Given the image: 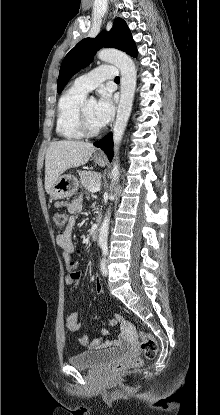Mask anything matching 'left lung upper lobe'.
Segmentation results:
<instances>
[{
	"mask_svg": "<svg viewBox=\"0 0 220 415\" xmlns=\"http://www.w3.org/2000/svg\"><path fill=\"white\" fill-rule=\"evenodd\" d=\"M102 46L119 49L132 57L138 55L136 44L126 22L117 18L109 32L103 31L95 38L83 39L65 56L58 77V92L63 90L75 73L93 60V56Z\"/></svg>",
	"mask_w": 220,
	"mask_h": 415,
	"instance_id": "5c2ea615",
	"label": "left lung upper lobe"
}]
</instances>
